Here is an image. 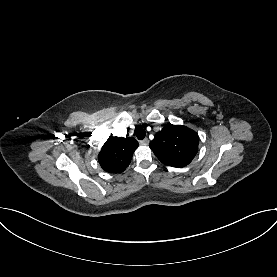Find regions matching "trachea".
Returning a JSON list of instances; mask_svg holds the SVG:
<instances>
[{"instance_id": "trachea-1", "label": "trachea", "mask_w": 277, "mask_h": 277, "mask_svg": "<svg viewBox=\"0 0 277 277\" xmlns=\"http://www.w3.org/2000/svg\"><path fill=\"white\" fill-rule=\"evenodd\" d=\"M136 137L139 139V140H142L145 138L146 136V132L143 128H137L136 129Z\"/></svg>"}]
</instances>
